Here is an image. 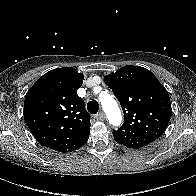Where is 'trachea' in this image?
<instances>
[{"label": "trachea", "instance_id": "obj_1", "mask_svg": "<svg viewBox=\"0 0 196 196\" xmlns=\"http://www.w3.org/2000/svg\"><path fill=\"white\" fill-rule=\"evenodd\" d=\"M87 110L91 113V114H96L99 110V104L96 100H91L88 102L87 104Z\"/></svg>", "mask_w": 196, "mask_h": 196}]
</instances>
